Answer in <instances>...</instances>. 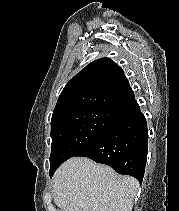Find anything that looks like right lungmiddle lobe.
<instances>
[{
    "instance_id": "dd1d6c3e",
    "label": "right lung middle lobe",
    "mask_w": 179,
    "mask_h": 211,
    "mask_svg": "<svg viewBox=\"0 0 179 211\" xmlns=\"http://www.w3.org/2000/svg\"><path fill=\"white\" fill-rule=\"evenodd\" d=\"M119 112L90 109L51 122L50 171L95 143L117 119Z\"/></svg>"
}]
</instances>
